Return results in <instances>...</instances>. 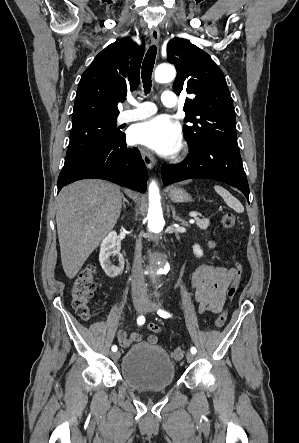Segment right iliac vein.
<instances>
[{
    "instance_id": "obj_1",
    "label": "right iliac vein",
    "mask_w": 299,
    "mask_h": 443,
    "mask_svg": "<svg viewBox=\"0 0 299 443\" xmlns=\"http://www.w3.org/2000/svg\"><path fill=\"white\" fill-rule=\"evenodd\" d=\"M134 306H135V308H136V310H137L138 312H143L144 309H145V307H146V305L143 304V303L140 302V301H136V302L134 303ZM111 357H112L113 360H117V359L120 357V352H114V353H112V354H111Z\"/></svg>"
}]
</instances>
